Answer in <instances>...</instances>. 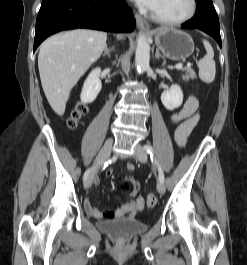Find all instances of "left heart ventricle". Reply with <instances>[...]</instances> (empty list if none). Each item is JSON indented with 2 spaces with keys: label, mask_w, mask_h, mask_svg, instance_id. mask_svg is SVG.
<instances>
[{
  "label": "left heart ventricle",
  "mask_w": 247,
  "mask_h": 265,
  "mask_svg": "<svg viewBox=\"0 0 247 265\" xmlns=\"http://www.w3.org/2000/svg\"><path fill=\"white\" fill-rule=\"evenodd\" d=\"M189 7V0H156L151 10L161 17L175 19L185 15Z\"/></svg>",
  "instance_id": "left-heart-ventricle-1"
}]
</instances>
